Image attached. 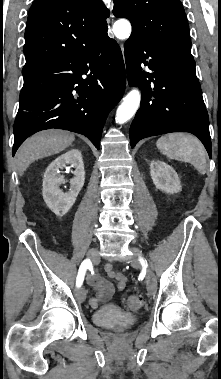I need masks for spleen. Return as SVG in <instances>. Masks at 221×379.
<instances>
[{
	"label": "spleen",
	"mask_w": 221,
	"mask_h": 379,
	"mask_svg": "<svg viewBox=\"0 0 221 379\" xmlns=\"http://www.w3.org/2000/svg\"><path fill=\"white\" fill-rule=\"evenodd\" d=\"M156 146L168 158L188 162L200 174L206 173V150L196 137L182 133L166 134L157 140Z\"/></svg>",
	"instance_id": "spleen-1"
}]
</instances>
